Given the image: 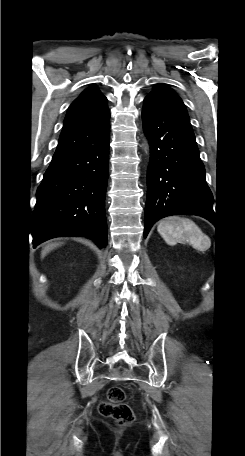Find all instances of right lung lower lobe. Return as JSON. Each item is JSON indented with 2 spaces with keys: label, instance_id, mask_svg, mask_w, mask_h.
<instances>
[{
  "label": "right lung lower lobe",
  "instance_id": "obj_1",
  "mask_svg": "<svg viewBox=\"0 0 245 456\" xmlns=\"http://www.w3.org/2000/svg\"><path fill=\"white\" fill-rule=\"evenodd\" d=\"M109 140L110 123L92 144L52 157L37 189L31 225L34 247L61 236H85L100 248L107 245Z\"/></svg>",
  "mask_w": 245,
  "mask_h": 456
}]
</instances>
